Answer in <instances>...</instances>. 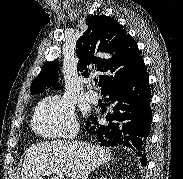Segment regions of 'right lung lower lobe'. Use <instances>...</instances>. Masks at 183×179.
<instances>
[{"mask_svg":"<svg viewBox=\"0 0 183 179\" xmlns=\"http://www.w3.org/2000/svg\"><path fill=\"white\" fill-rule=\"evenodd\" d=\"M102 93L108 96L106 102L113 105V112L106 115L105 124H99L91 116L90 120L93 121H88L85 129L103 146L133 149L145 165L152 120L151 91L145 64L108 85Z\"/></svg>","mask_w":183,"mask_h":179,"instance_id":"1","label":"right lung lower lobe"}]
</instances>
